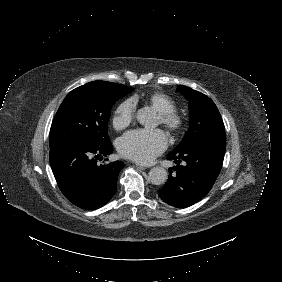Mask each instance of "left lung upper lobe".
Masks as SVG:
<instances>
[{
	"mask_svg": "<svg viewBox=\"0 0 282 282\" xmlns=\"http://www.w3.org/2000/svg\"><path fill=\"white\" fill-rule=\"evenodd\" d=\"M177 91L189 101V130L173 151H180L192 141L212 135L225 134L224 123L214 102L196 90L178 86Z\"/></svg>",
	"mask_w": 282,
	"mask_h": 282,
	"instance_id": "1",
	"label": "left lung upper lobe"
}]
</instances>
